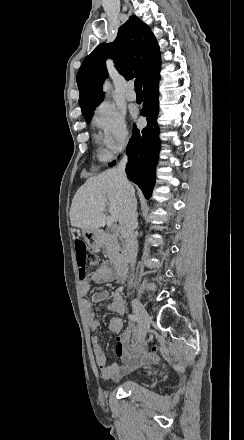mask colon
I'll use <instances>...</instances> for the list:
<instances>
[{
	"label": "colon",
	"instance_id": "obj_1",
	"mask_svg": "<svg viewBox=\"0 0 244 440\" xmlns=\"http://www.w3.org/2000/svg\"><path fill=\"white\" fill-rule=\"evenodd\" d=\"M74 252L77 261L78 277L80 280H85L87 277L88 269L97 270V268L99 267V258L94 253H89L87 251L84 241H76L74 243ZM160 349V344H155L153 346L154 351H159Z\"/></svg>",
	"mask_w": 244,
	"mask_h": 440
}]
</instances>
